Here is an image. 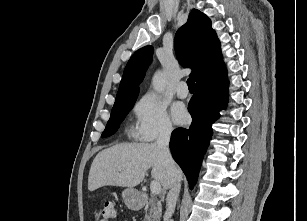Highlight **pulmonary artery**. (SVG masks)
Segmentation results:
<instances>
[{"label": "pulmonary artery", "instance_id": "pulmonary-artery-1", "mask_svg": "<svg viewBox=\"0 0 307 221\" xmlns=\"http://www.w3.org/2000/svg\"><path fill=\"white\" fill-rule=\"evenodd\" d=\"M176 94L179 98H186L189 94L186 82L182 81L177 85Z\"/></svg>", "mask_w": 307, "mask_h": 221}]
</instances>
